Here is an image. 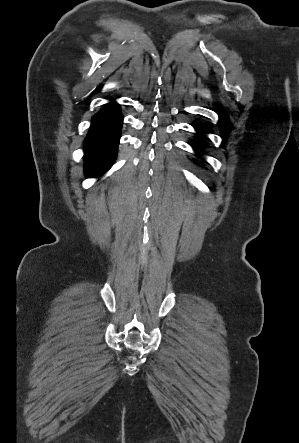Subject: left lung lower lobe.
Instances as JSON below:
<instances>
[{
  "label": "left lung lower lobe",
  "mask_w": 299,
  "mask_h": 443,
  "mask_svg": "<svg viewBox=\"0 0 299 443\" xmlns=\"http://www.w3.org/2000/svg\"><path fill=\"white\" fill-rule=\"evenodd\" d=\"M196 130H197L198 132H204V129H202V128H196ZM197 137H198L199 139L204 138V136H202L201 134L197 135Z\"/></svg>",
  "instance_id": "0a47b994"
}]
</instances>
